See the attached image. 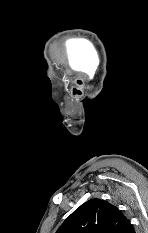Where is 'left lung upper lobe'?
I'll use <instances>...</instances> for the list:
<instances>
[{
  "instance_id": "5c2ea615",
  "label": "left lung upper lobe",
  "mask_w": 148,
  "mask_h": 233,
  "mask_svg": "<svg viewBox=\"0 0 148 233\" xmlns=\"http://www.w3.org/2000/svg\"><path fill=\"white\" fill-rule=\"evenodd\" d=\"M133 226L114 205L91 199L76 209L56 233H130Z\"/></svg>"
}]
</instances>
